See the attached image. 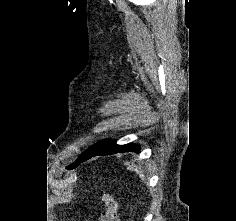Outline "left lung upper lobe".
<instances>
[{
    "label": "left lung upper lobe",
    "instance_id": "left-lung-upper-lobe-1",
    "mask_svg": "<svg viewBox=\"0 0 236 221\" xmlns=\"http://www.w3.org/2000/svg\"><path fill=\"white\" fill-rule=\"evenodd\" d=\"M77 162V161H76ZM76 162H74L73 164H71L70 166H68L67 168L68 169H72V168H74L75 166H76Z\"/></svg>",
    "mask_w": 236,
    "mask_h": 221
}]
</instances>
